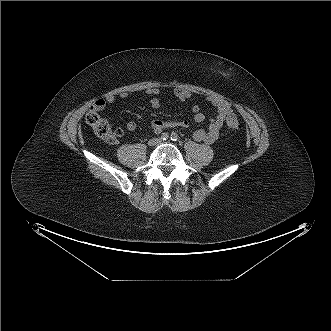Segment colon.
Returning <instances> with one entry per match:
<instances>
[{
  "label": "colon",
  "mask_w": 331,
  "mask_h": 331,
  "mask_svg": "<svg viewBox=\"0 0 331 331\" xmlns=\"http://www.w3.org/2000/svg\"><path fill=\"white\" fill-rule=\"evenodd\" d=\"M86 122L100 139L108 143H115L121 135V132L118 129L113 130L110 123L102 118L97 111L90 110L86 115ZM226 125L232 132H237L241 128V123L235 115L228 116Z\"/></svg>",
  "instance_id": "colon-1"
}]
</instances>
